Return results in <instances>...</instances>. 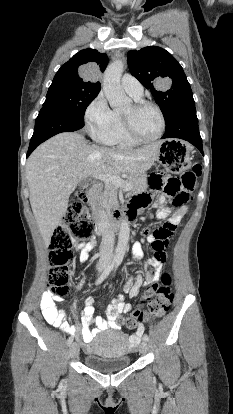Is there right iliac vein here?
Listing matches in <instances>:
<instances>
[{
  "label": "right iliac vein",
  "instance_id": "63e3f726",
  "mask_svg": "<svg viewBox=\"0 0 233 414\" xmlns=\"http://www.w3.org/2000/svg\"><path fill=\"white\" fill-rule=\"evenodd\" d=\"M79 354V347L76 343L71 344L70 348H69V356L70 358H75L77 357Z\"/></svg>",
  "mask_w": 233,
  "mask_h": 414
}]
</instances>
